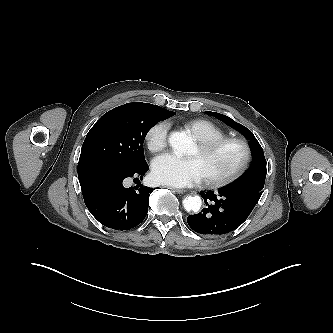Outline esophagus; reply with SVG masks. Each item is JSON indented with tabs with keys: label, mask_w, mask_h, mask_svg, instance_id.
Wrapping results in <instances>:
<instances>
[{
	"label": "esophagus",
	"mask_w": 333,
	"mask_h": 333,
	"mask_svg": "<svg viewBox=\"0 0 333 333\" xmlns=\"http://www.w3.org/2000/svg\"><path fill=\"white\" fill-rule=\"evenodd\" d=\"M167 188L176 192V193H179V194H182V193L185 192V190H183V189H178V188H174V187H171V186H167Z\"/></svg>",
	"instance_id": "34e87169"
}]
</instances>
